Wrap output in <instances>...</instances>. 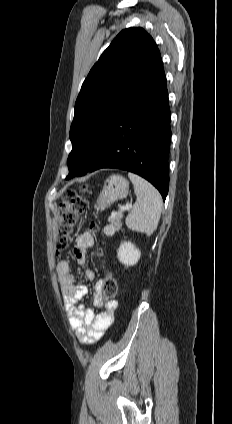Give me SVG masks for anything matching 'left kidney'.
Wrapping results in <instances>:
<instances>
[{"mask_svg":"<svg viewBox=\"0 0 232 424\" xmlns=\"http://www.w3.org/2000/svg\"><path fill=\"white\" fill-rule=\"evenodd\" d=\"M117 255L119 261L128 267L135 265L139 261L141 252L134 244L125 241L121 243Z\"/></svg>","mask_w":232,"mask_h":424,"instance_id":"1","label":"left kidney"}]
</instances>
